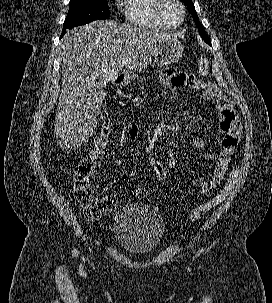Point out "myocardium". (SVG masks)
<instances>
[{"instance_id": "f54148a6", "label": "myocardium", "mask_w": 272, "mask_h": 303, "mask_svg": "<svg viewBox=\"0 0 272 303\" xmlns=\"http://www.w3.org/2000/svg\"><path fill=\"white\" fill-rule=\"evenodd\" d=\"M168 3H174L176 4L179 9H180V13H181V17L180 20L173 24L171 22H169L165 16V7ZM157 15L158 18L160 19V21L168 28H176L178 26H180L184 19H185V7L183 5V3L181 2V0H159V4L157 6Z\"/></svg>"}]
</instances>
